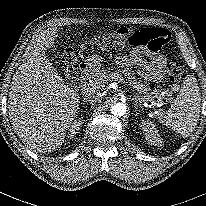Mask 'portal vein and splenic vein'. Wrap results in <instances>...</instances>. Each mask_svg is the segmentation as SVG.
<instances>
[{
  "mask_svg": "<svg viewBox=\"0 0 206 206\" xmlns=\"http://www.w3.org/2000/svg\"><path fill=\"white\" fill-rule=\"evenodd\" d=\"M97 85H98V83L95 84V86H92V87H93V88H96V87H98ZM84 87H87V86H84ZM88 87H89V86H88ZM138 98H139L140 101H142V102L144 101L142 98H140V97H138ZM152 104H153V105H157L158 107L162 106V103H161V102L153 101Z\"/></svg>",
  "mask_w": 206,
  "mask_h": 206,
  "instance_id": "18ae733b",
  "label": "portal vein and splenic vein"
}]
</instances>
